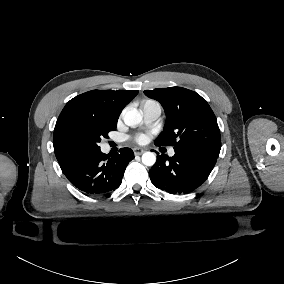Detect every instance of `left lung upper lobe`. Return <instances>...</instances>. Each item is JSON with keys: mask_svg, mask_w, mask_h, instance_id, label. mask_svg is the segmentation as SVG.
<instances>
[{"mask_svg": "<svg viewBox=\"0 0 284 284\" xmlns=\"http://www.w3.org/2000/svg\"><path fill=\"white\" fill-rule=\"evenodd\" d=\"M144 93L159 101L167 115L164 130L154 141L155 145L196 150L218 158L220 130L204 98L182 87L157 88Z\"/></svg>", "mask_w": 284, "mask_h": 284, "instance_id": "1", "label": "left lung upper lobe"}]
</instances>
